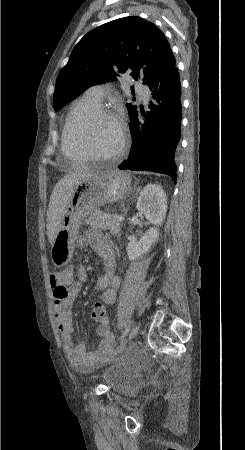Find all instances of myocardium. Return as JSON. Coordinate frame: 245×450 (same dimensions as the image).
Segmentation results:
<instances>
[{
	"label": "myocardium",
	"instance_id": "f54148a6",
	"mask_svg": "<svg viewBox=\"0 0 245 450\" xmlns=\"http://www.w3.org/2000/svg\"><path fill=\"white\" fill-rule=\"evenodd\" d=\"M101 120H112L120 126L121 142L119 147L112 153L101 155L94 151L90 143V135L94 126ZM85 131L79 133L77 127L74 130V136L78 146L86 153L89 159L94 161H111L122 157L128 145L127 127L124 121L115 113L109 110L97 109L89 114L83 121Z\"/></svg>",
	"mask_w": 245,
	"mask_h": 450
}]
</instances>
